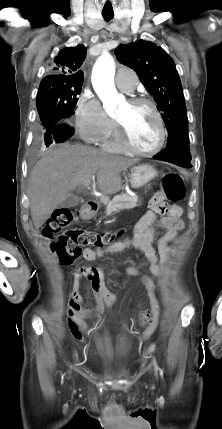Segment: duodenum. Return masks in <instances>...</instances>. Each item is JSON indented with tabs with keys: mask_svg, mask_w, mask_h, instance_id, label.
<instances>
[{
	"mask_svg": "<svg viewBox=\"0 0 222 429\" xmlns=\"http://www.w3.org/2000/svg\"><path fill=\"white\" fill-rule=\"evenodd\" d=\"M99 209V205L96 201L90 200L86 202L83 207V214L85 217H90L92 213L96 212Z\"/></svg>",
	"mask_w": 222,
	"mask_h": 429,
	"instance_id": "obj_1",
	"label": "duodenum"
}]
</instances>
